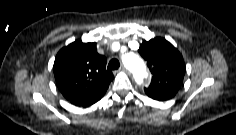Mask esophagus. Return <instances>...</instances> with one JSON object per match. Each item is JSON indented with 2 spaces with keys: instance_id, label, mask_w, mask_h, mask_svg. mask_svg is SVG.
<instances>
[{
  "instance_id": "obj_1",
  "label": "esophagus",
  "mask_w": 236,
  "mask_h": 135,
  "mask_svg": "<svg viewBox=\"0 0 236 135\" xmlns=\"http://www.w3.org/2000/svg\"><path fill=\"white\" fill-rule=\"evenodd\" d=\"M123 72H128L127 68L125 66H121L120 68Z\"/></svg>"
}]
</instances>
